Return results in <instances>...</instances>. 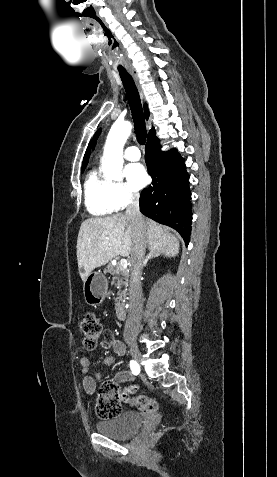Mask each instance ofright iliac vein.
Listing matches in <instances>:
<instances>
[{"mask_svg":"<svg viewBox=\"0 0 277 477\" xmlns=\"http://www.w3.org/2000/svg\"><path fill=\"white\" fill-rule=\"evenodd\" d=\"M129 347H130V353H131V356L133 357V359L136 362H140L142 360V356H141V353H140L137 345L134 342H130Z\"/></svg>","mask_w":277,"mask_h":477,"instance_id":"right-iliac-vein-1","label":"right iliac vein"}]
</instances>
